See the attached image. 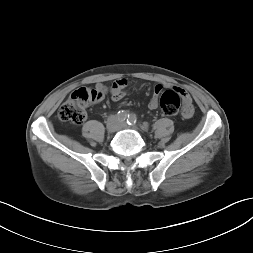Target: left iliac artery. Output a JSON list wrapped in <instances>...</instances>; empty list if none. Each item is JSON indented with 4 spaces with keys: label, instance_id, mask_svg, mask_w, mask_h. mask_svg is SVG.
Masks as SVG:
<instances>
[{
    "label": "left iliac artery",
    "instance_id": "obj_1",
    "mask_svg": "<svg viewBox=\"0 0 253 253\" xmlns=\"http://www.w3.org/2000/svg\"><path fill=\"white\" fill-rule=\"evenodd\" d=\"M127 123L129 125H135L137 123V118H136L135 114H128ZM144 128L145 129L148 128V124H145Z\"/></svg>",
    "mask_w": 253,
    "mask_h": 253
}]
</instances>
